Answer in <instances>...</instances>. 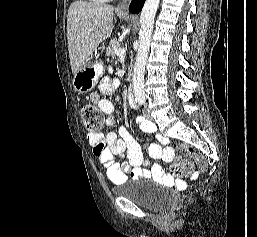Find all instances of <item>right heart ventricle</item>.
Returning <instances> with one entry per match:
<instances>
[{
  "mask_svg": "<svg viewBox=\"0 0 257 237\" xmlns=\"http://www.w3.org/2000/svg\"><path fill=\"white\" fill-rule=\"evenodd\" d=\"M90 2L92 3H103V2H106L108 0H89Z\"/></svg>",
  "mask_w": 257,
  "mask_h": 237,
  "instance_id": "1",
  "label": "right heart ventricle"
}]
</instances>
